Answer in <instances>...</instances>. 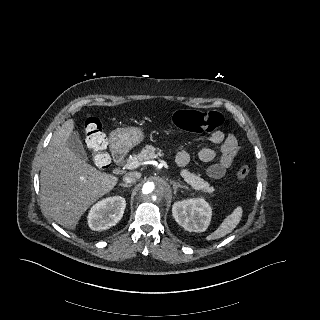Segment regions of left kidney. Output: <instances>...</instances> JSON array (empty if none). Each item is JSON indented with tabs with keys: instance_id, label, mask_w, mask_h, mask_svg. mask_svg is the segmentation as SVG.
Here are the masks:
<instances>
[{
	"instance_id": "obj_1",
	"label": "left kidney",
	"mask_w": 320,
	"mask_h": 320,
	"mask_svg": "<svg viewBox=\"0 0 320 320\" xmlns=\"http://www.w3.org/2000/svg\"><path fill=\"white\" fill-rule=\"evenodd\" d=\"M175 221L189 232H204L211 220L212 210L202 198L175 202L172 206Z\"/></svg>"
}]
</instances>
